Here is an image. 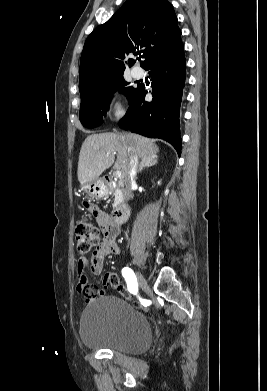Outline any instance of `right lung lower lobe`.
I'll use <instances>...</instances> for the list:
<instances>
[{
    "instance_id": "right-lung-lower-lobe-1",
    "label": "right lung lower lobe",
    "mask_w": 267,
    "mask_h": 391,
    "mask_svg": "<svg viewBox=\"0 0 267 391\" xmlns=\"http://www.w3.org/2000/svg\"><path fill=\"white\" fill-rule=\"evenodd\" d=\"M185 62L183 43L153 59L145 67L152 80L153 100L145 101L148 90L139 84L119 123L121 128L132 132L166 140L178 155L181 153L179 111L186 78Z\"/></svg>"
}]
</instances>
